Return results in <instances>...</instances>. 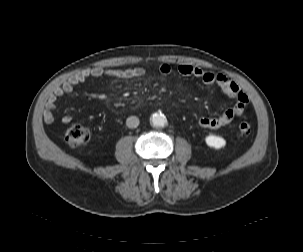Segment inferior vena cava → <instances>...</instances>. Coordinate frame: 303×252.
<instances>
[{
	"label": "inferior vena cava",
	"mask_w": 303,
	"mask_h": 252,
	"mask_svg": "<svg viewBox=\"0 0 303 252\" xmlns=\"http://www.w3.org/2000/svg\"><path fill=\"white\" fill-rule=\"evenodd\" d=\"M126 125L128 128H136L139 125V119L136 116H130L126 120Z\"/></svg>",
	"instance_id": "1"
}]
</instances>
